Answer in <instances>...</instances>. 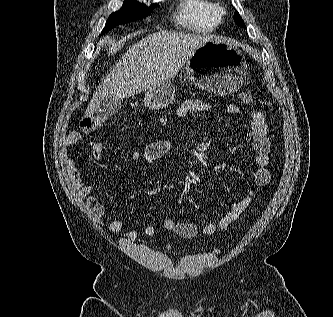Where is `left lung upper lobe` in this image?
Segmentation results:
<instances>
[{
  "instance_id": "5c2ea615",
  "label": "left lung upper lobe",
  "mask_w": 333,
  "mask_h": 317,
  "mask_svg": "<svg viewBox=\"0 0 333 317\" xmlns=\"http://www.w3.org/2000/svg\"><path fill=\"white\" fill-rule=\"evenodd\" d=\"M234 21L241 25L242 27L246 28L245 24H244V21L242 20V18L240 17L239 13H236L235 16H234Z\"/></svg>"
}]
</instances>
